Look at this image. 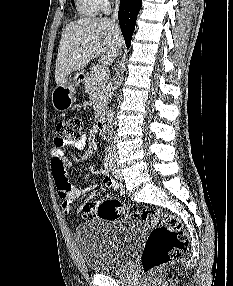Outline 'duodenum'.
Masks as SVG:
<instances>
[{"label":"duodenum","instance_id":"1","mask_svg":"<svg viewBox=\"0 0 233 286\" xmlns=\"http://www.w3.org/2000/svg\"><path fill=\"white\" fill-rule=\"evenodd\" d=\"M96 128L97 130L104 134L106 131V124H105V119L102 116H99L96 122Z\"/></svg>","mask_w":233,"mask_h":286}]
</instances>
